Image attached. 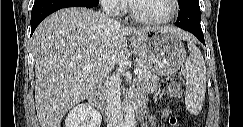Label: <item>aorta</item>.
I'll return each mask as SVG.
<instances>
[{
    "mask_svg": "<svg viewBox=\"0 0 243 127\" xmlns=\"http://www.w3.org/2000/svg\"><path fill=\"white\" fill-rule=\"evenodd\" d=\"M124 126L125 127H135L136 126V119H135V111L131 102H127L125 109H124Z\"/></svg>",
    "mask_w": 243,
    "mask_h": 127,
    "instance_id": "1",
    "label": "aorta"
}]
</instances>
